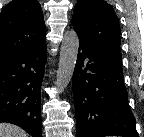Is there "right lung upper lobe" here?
<instances>
[{
	"instance_id": "right-lung-upper-lobe-1",
	"label": "right lung upper lobe",
	"mask_w": 144,
	"mask_h": 137,
	"mask_svg": "<svg viewBox=\"0 0 144 137\" xmlns=\"http://www.w3.org/2000/svg\"><path fill=\"white\" fill-rule=\"evenodd\" d=\"M45 23L36 0H13L0 13V63L45 39Z\"/></svg>"
}]
</instances>
